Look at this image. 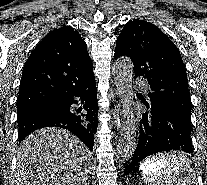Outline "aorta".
<instances>
[{
    "label": "aorta",
    "instance_id": "1",
    "mask_svg": "<svg viewBox=\"0 0 207 185\" xmlns=\"http://www.w3.org/2000/svg\"><path fill=\"white\" fill-rule=\"evenodd\" d=\"M113 76L124 112L116 159L119 164H124L130 161L136 147L137 119L132 108L134 65L131 59L119 58L114 63Z\"/></svg>",
    "mask_w": 207,
    "mask_h": 185
}]
</instances>
